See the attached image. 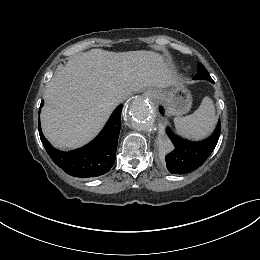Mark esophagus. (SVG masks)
I'll return each mask as SVG.
<instances>
[{
    "instance_id": "34e87169",
    "label": "esophagus",
    "mask_w": 260,
    "mask_h": 260,
    "mask_svg": "<svg viewBox=\"0 0 260 260\" xmlns=\"http://www.w3.org/2000/svg\"><path fill=\"white\" fill-rule=\"evenodd\" d=\"M143 96L152 99L155 95L154 92L151 89H149L143 93Z\"/></svg>"
}]
</instances>
